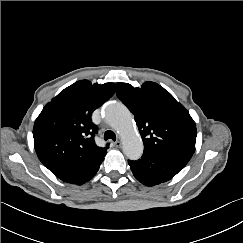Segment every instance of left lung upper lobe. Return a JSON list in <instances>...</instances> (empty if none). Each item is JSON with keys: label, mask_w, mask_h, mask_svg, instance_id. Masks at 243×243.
Instances as JSON below:
<instances>
[{"label": "left lung upper lobe", "mask_w": 243, "mask_h": 243, "mask_svg": "<svg viewBox=\"0 0 243 243\" xmlns=\"http://www.w3.org/2000/svg\"><path fill=\"white\" fill-rule=\"evenodd\" d=\"M117 96L134 114L144 151L190 159L195 151L196 125L189 112L162 86L141 88L117 83Z\"/></svg>", "instance_id": "obj_1"}]
</instances>
